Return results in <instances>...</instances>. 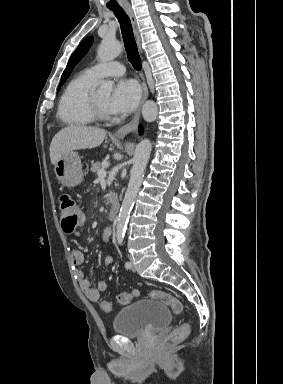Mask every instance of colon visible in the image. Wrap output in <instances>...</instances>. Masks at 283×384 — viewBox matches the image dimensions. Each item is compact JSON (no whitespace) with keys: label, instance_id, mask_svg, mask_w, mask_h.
Returning <instances> with one entry per match:
<instances>
[{"label":"colon","instance_id":"5ec220e1","mask_svg":"<svg viewBox=\"0 0 283 384\" xmlns=\"http://www.w3.org/2000/svg\"><path fill=\"white\" fill-rule=\"evenodd\" d=\"M59 210L61 218V227L65 233H72L77 226L82 223V214L75 202V200L68 194H63L59 198ZM136 295V292H123L118 295V301L121 304H128ZM151 299L159 300L175 314H180L183 311V305L179 299L171 294L159 290L153 289L149 292ZM102 311L109 313L112 310V305L108 301H102L100 303ZM190 326L187 322L182 323L176 327L169 335L164 339L165 346H172L176 343L184 340L189 334Z\"/></svg>","mask_w":283,"mask_h":384}]
</instances>
